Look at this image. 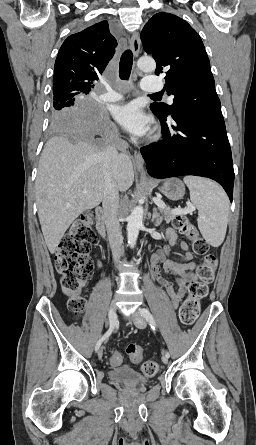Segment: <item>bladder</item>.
Segmentation results:
<instances>
[{
	"label": "bladder",
	"mask_w": 256,
	"mask_h": 445,
	"mask_svg": "<svg viewBox=\"0 0 256 445\" xmlns=\"http://www.w3.org/2000/svg\"><path fill=\"white\" fill-rule=\"evenodd\" d=\"M108 376L112 381L123 385L147 384L150 381L149 378L141 374L138 370L129 366L111 369L108 372Z\"/></svg>",
	"instance_id": "31cf9c89"
}]
</instances>
